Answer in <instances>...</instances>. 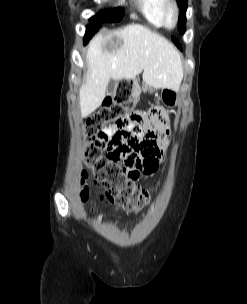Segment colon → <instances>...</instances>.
Returning a JSON list of instances; mask_svg holds the SVG:
<instances>
[{"instance_id":"5ec220e1","label":"colon","mask_w":247,"mask_h":304,"mask_svg":"<svg viewBox=\"0 0 247 304\" xmlns=\"http://www.w3.org/2000/svg\"><path fill=\"white\" fill-rule=\"evenodd\" d=\"M133 105L130 86L125 82L119 83L114 93L104 101L102 107L86 121L84 154L87 164L101 181L107 195L124 208L139 211L150 202L154 191L138 187L120 165L106 162V156L102 152L103 147L99 141L105 128L113 126L114 122L126 119V114L132 112ZM145 160L149 165H153L155 162L154 159ZM81 194L83 201H86L89 197V189L84 183H82Z\"/></svg>"}]
</instances>
